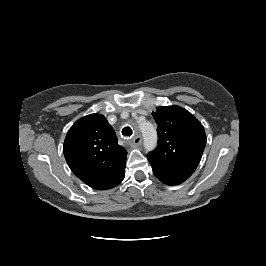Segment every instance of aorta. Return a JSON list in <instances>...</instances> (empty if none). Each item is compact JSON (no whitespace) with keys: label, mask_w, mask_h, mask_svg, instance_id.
Here are the masks:
<instances>
[{"label":"aorta","mask_w":266,"mask_h":266,"mask_svg":"<svg viewBox=\"0 0 266 266\" xmlns=\"http://www.w3.org/2000/svg\"><path fill=\"white\" fill-rule=\"evenodd\" d=\"M139 128L143 136L144 147L147 151L153 150L157 145V132L155 127L147 121L140 122Z\"/></svg>","instance_id":"obj_1"}]
</instances>
